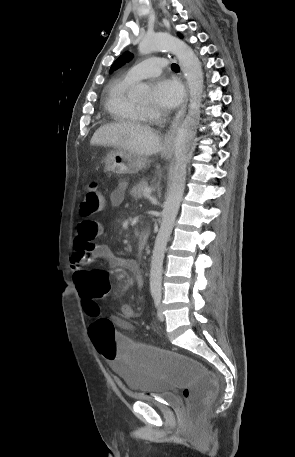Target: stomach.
<instances>
[{
	"mask_svg": "<svg viewBox=\"0 0 295 457\" xmlns=\"http://www.w3.org/2000/svg\"><path fill=\"white\" fill-rule=\"evenodd\" d=\"M166 159L168 154L163 155ZM105 169L116 174H135L147 163L144 157L137 156L123 149L109 151L104 159Z\"/></svg>",
	"mask_w": 295,
	"mask_h": 457,
	"instance_id": "1",
	"label": "stomach"
}]
</instances>
